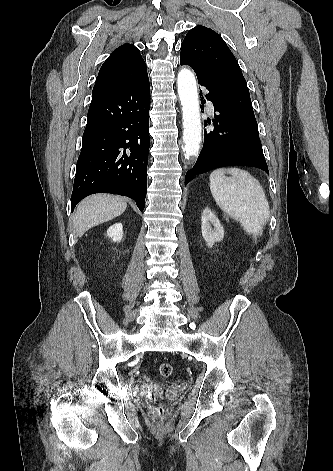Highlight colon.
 <instances>
[{
  "instance_id": "5ec220e1",
  "label": "colon",
  "mask_w": 333,
  "mask_h": 471,
  "mask_svg": "<svg viewBox=\"0 0 333 471\" xmlns=\"http://www.w3.org/2000/svg\"><path fill=\"white\" fill-rule=\"evenodd\" d=\"M159 375L163 378H168L172 374V366L169 363H161L158 368ZM155 425L158 429H161L165 421V408L161 404H157L155 407Z\"/></svg>"
}]
</instances>
